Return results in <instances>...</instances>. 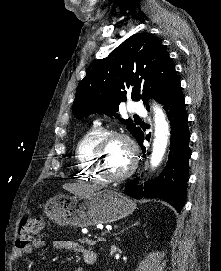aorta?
Wrapping results in <instances>:
<instances>
[{
	"label": "aorta",
	"instance_id": "obj_1",
	"mask_svg": "<svg viewBox=\"0 0 221 271\" xmlns=\"http://www.w3.org/2000/svg\"><path fill=\"white\" fill-rule=\"evenodd\" d=\"M155 132L153 140V148L150 157L151 166L157 167L166 152L169 140V123L162 108L158 104L153 105Z\"/></svg>",
	"mask_w": 221,
	"mask_h": 271
}]
</instances>
